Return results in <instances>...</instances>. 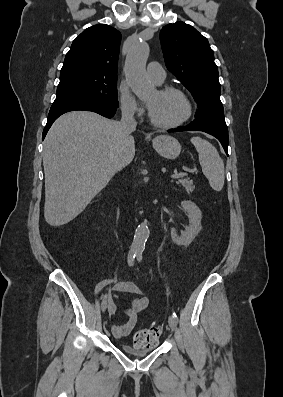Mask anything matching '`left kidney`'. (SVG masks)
Returning <instances> with one entry per match:
<instances>
[{
	"instance_id": "obj_1",
	"label": "left kidney",
	"mask_w": 283,
	"mask_h": 397,
	"mask_svg": "<svg viewBox=\"0 0 283 397\" xmlns=\"http://www.w3.org/2000/svg\"><path fill=\"white\" fill-rule=\"evenodd\" d=\"M181 205L184 211L187 213L189 225L185 228V231L182 232L180 236L176 233L175 229H172L171 238L177 245L188 246L198 235L201 229L202 213L194 202L183 201Z\"/></svg>"
}]
</instances>
